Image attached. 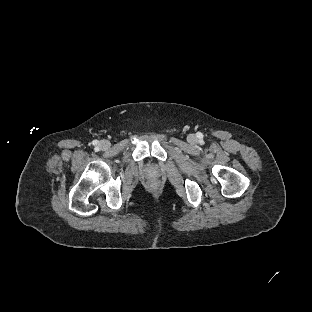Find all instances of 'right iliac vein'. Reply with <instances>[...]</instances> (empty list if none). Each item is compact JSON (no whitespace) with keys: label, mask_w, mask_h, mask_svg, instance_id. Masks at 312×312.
<instances>
[{"label":"right iliac vein","mask_w":312,"mask_h":312,"mask_svg":"<svg viewBox=\"0 0 312 312\" xmlns=\"http://www.w3.org/2000/svg\"><path fill=\"white\" fill-rule=\"evenodd\" d=\"M109 146H110V143H109V141H107V140H102V141H100V143H99V147H100L101 149H103V150L108 149Z\"/></svg>","instance_id":"obj_1"}]
</instances>
